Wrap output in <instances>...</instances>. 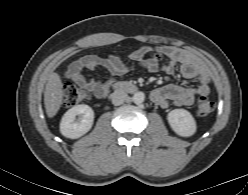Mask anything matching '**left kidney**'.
<instances>
[{
  "mask_svg": "<svg viewBox=\"0 0 248 195\" xmlns=\"http://www.w3.org/2000/svg\"><path fill=\"white\" fill-rule=\"evenodd\" d=\"M167 120L172 130L182 137H190L196 132L195 119L185 109H174L170 111Z\"/></svg>",
  "mask_w": 248,
  "mask_h": 195,
  "instance_id": "5707ae66",
  "label": "left kidney"
}]
</instances>
